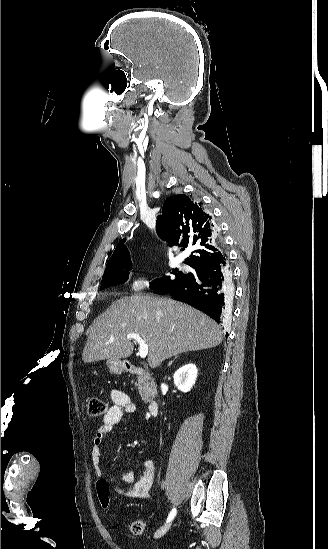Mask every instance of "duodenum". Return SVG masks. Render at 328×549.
Returning a JSON list of instances; mask_svg holds the SVG:
<instances>
[{"instance_id":"obj_1","label":"duodenum","mask_w":328,"mask_h":549,"mask_svg":"<svg viewBox=\"0 0 328 549\" xmlns=\"http://www.w3.org/2000/svg\"><path fill=\"white\" fill-rule=\"evenodd\" d=\"M126 369L129 373L135 374V375H138V376H144L146 374V372L143 368L138 367V366L133 365V364H128L126 366ZM147 409H148V412L151 415H156L158 413V409H159L158 401L156 399H151L148 402Z\"/></svg>"}]
</instances>
